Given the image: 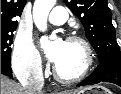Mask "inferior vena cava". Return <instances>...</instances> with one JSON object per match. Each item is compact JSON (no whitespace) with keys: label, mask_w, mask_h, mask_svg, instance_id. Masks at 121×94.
Here are the masks:
<instances>
[{"label":"inferior vena cava","mask_w":121,"mask_h":94,"mask_svg":"<svg viewBox=\"0 0 121 94\" xmlns=\"http://www.w3.org/2000/svg\"><path fill=\"white\" fill-rule=\"evenodd\" d=\"M43 86L44 77L41 68H38L36 73L31 77L30 81L23 85L28 94H40Z\"/></svg>","instance_id":"602c4592"}]
</instances>
